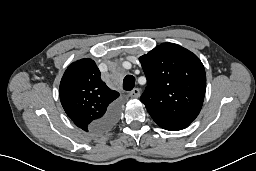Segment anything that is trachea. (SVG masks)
Returning <instances> with one entry per match:
<instances>
[{
	"mask_svg": "<svg viewBox=\"0 0 256 171\" xmlns=\"http://www.w3.org/2000/svg\"><path fill=\"white\" fill-rule=\"evenodd\" d=\"M135 86V77L132 75H126L123 80V89L126 91H130Z\"/></svg>",
	"mask_w": 256,
	"mask_h": 171,
	"instance_id": "1",
	"label": "trachea"
}]
</instances>
